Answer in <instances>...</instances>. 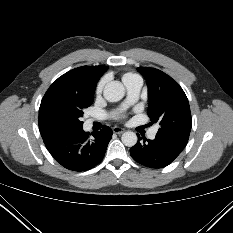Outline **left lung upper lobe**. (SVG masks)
<instances>
[{
	"label": "left lung upper lobe",
	"mask_w": 233,
	"mask_h": 233,
	"mask_svg": "<svg viewBox=\"0 0 233 233\" xmlns=\"http://www.w3.org/2000/svg\"><path fill=\"white\" fill-rule=\"evenodd\" d=\"M138 71L148 85V116L152 122L160 124L157 135L188 142L192 118L182 88L160 70L140 67Z\"/></svg>",
	"instance_id": "1"
}]
</instances>
